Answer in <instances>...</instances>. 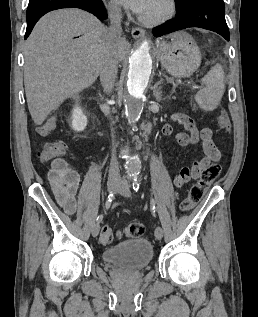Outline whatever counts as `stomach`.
I'll return each mask as SVG.
<instances>
[{"instance_id": "obj_1", "label": "stomach", "mask_w": 258, "mask_h": 317, "mask_svg": "<svg viewBox=\"0 0 258 317\" xmlns=\"http://www.w3.org/2000/svg\"><path fill=\"white\" fill-rule=\"evenodd\" d=\"M156 54L171 76H191L201 62V52L188 32H175L171 40H159Z\"/></svg>"}]
</instances>
